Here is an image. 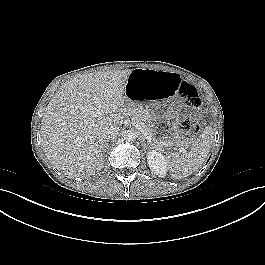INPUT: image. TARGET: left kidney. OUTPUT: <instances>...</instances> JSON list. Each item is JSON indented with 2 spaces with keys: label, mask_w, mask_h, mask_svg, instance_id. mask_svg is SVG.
<instances>
[{
  "label": "left kidney",
  "mask_w": 265,
  "mask_h": 265,
  "mask_svg": "<svg viewBox=\"0 0 265 265\" xmlns=\"http://www.w3.org/2000/svg\"><path fill=\"white\" fill-rule=\"evenodd\" d=\"M147 162L151 171L159 177L167 174V161L164 156L153 150L147 154Z\"/></svg>",
  "instance_id": "1"
}]
</instances>
